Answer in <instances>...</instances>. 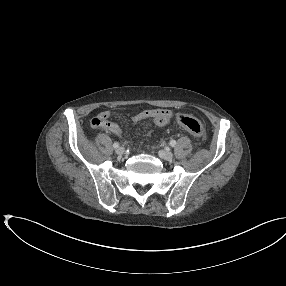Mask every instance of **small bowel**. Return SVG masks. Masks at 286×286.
Masks as SVG:
<instances>
[{"label": "small bowel", "mask_w": 286, "mask_h": 286, "mask_svg": "<svg viewBox=\"0 0 286 286\" xmlns=\"http://www.w3.org/2000/svg\"><path fill=\"white\" fill-rule=\"evenodd\" d=\"M111 112L102 111L96 117H94L90 125L92 128H101L108 133L120 136L122 134L121 127L110 120ZM172 117L171 111L167 109H146L132 117L134 123H138L144 120H152L157 126L165 127L170 123Z\"/></svg>", "instance_id": "1"}]
</instances>
